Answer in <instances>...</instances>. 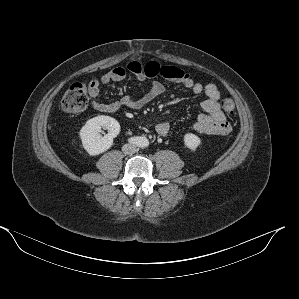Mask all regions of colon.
Listing matches in <instances>:
<instances>
[{
	"label": "colon",
	"instance_id": "obj_1",
	"mask_svg": "<svg viewBox=\"0 0 299 299\" xmlns=\"http://www.w3.org/2000/svg\"><path fill=\"white\" fill-rule=\"evenodd\" d=\"M90 86L83 82H74L64 94L61 100V109L66 113H78L83 111L89 104ZM221 107L225 113L231 115L235 110V103L231 96H226Z\"/></svg>",
	"mask_w": 299,
	"mask_h": 299
}]
</instances>
